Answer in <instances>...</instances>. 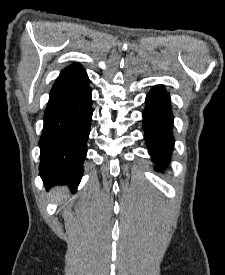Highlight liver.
<instances>
[{"mask_svg":"<svg viewBox=\"0 0 225 275\" xmlns=\"http://www.w3.org/2000/svg\"><path fill=\"white\" fill-rule=\"evenodd\" d=\"M65 189L64 188H58L56 190L53 191V195L54 197L58 198V200L63 199V197L65 196Z\"/></svg>","mask_w":225,"mask_h":275,"instance_id":"6515ba94","label":"liver"}]
</instances>
